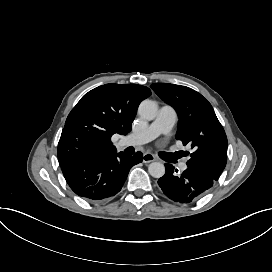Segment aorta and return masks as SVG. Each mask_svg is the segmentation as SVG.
Segmentation results:
<instances>
[{"mask_svg":"<svg viewBox=\"0 0 272 272\" xmlns=\"http://www.w3.org/2000/svg\"><path fill=\"white\" fill-rule=\"evenodd\" d=\"M158 112V104L150 99L143 100L138 108V114L147 119L152 120ZM149 174L154 178H161L165 174V166L160 162H152L148 166Z\"/></svg>","mask_w":272,"mask_h":272,"instance_id":"aorta-1","label":"aorta"}]
</instances>
